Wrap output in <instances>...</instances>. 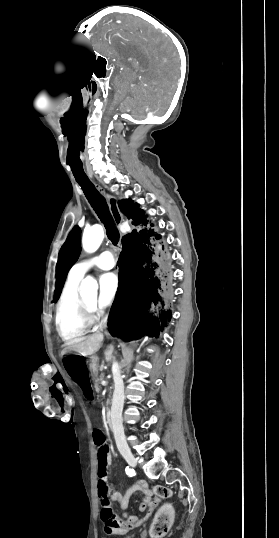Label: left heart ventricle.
<instances>
[{
	"label": "left heart ventricle",
	"instance_id": "obj_1",
	"mask_svg": "<svg viewBox=\"0 0 279 538\" xmlns=\"http://www.w3.org/2000/svg\"><path fill=\"white\" fill-rule=\"evenodd\" d=\"M85 297L89 300V301H92V302H97V293L96 294H88V295H85Z\"/></svg>",
	"mask_w": 279,
	"mask_h": 538
}]
</instances>
